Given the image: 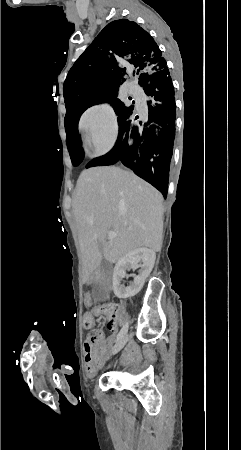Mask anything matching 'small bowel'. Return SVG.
<instances>
[{
    "mask_svg": "<svg viewBox=\"0 0 241 450\" xmlns=\"http://www.w3.org/2000/svg\"><path fill=\"white\" fill-rule=\"evenodd\" d=\"M86 303L88 305L91 304L90 295L86 296ZM94 323L95 320H93L91 325H85V327L92 328ZM121 325V319H108L107 328L108 330L109 328H113V331L109 330L112 334L108 335L104 329H98L84 343V360L88 375H95L101 367L104 355L112 348L114 342V332L117 328H121ZM131 346L133 347L134 344Z\"/></svg>",
    "mask_w": 241,
    "mask_h": 450,
    "instance_id": "1",
    "label": "small bowel"
}]
</instances>
